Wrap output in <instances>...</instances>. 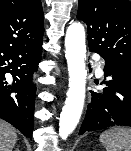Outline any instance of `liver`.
Wrapping results in <instances>:
<instances>
[{
  "mask_svg": "<svg viewBox=\"0 0 131 151\" xmlns=\"http://www.w3.org/2000/svg\"><path fill=\"white\" fill-rule=\"evenodd\" d=\"M17 141L16 130L0 120V151H12Z\"/></svg>",
  "mask_w": 131,
  "mask_h": 151,
  "instance_id": "liver-1",
  "label": "liver"
}]
</instances>
